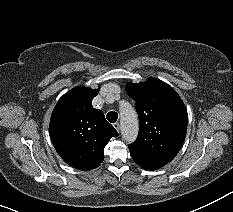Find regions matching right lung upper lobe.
I'll return each instance as SVG.
<instances>
[{"mask_svg": "<svg viewBox=\"0 0 233 212\" xmlns=\"http://www.w3.org/2000/svg\"><path fill=\"white\" fill-rule=\"evenodd\" d=\"M98 92L83 86L73 88L59 99L50 120L49 134L56 151L68 165L82 171L98 167L104 147L118 136L103 112L92 107Z\"/></svg>", "mask_w": 233, "mask_h": 212, "instance_id": "1", "label": "right lung upper lobe"}]
</instances>
